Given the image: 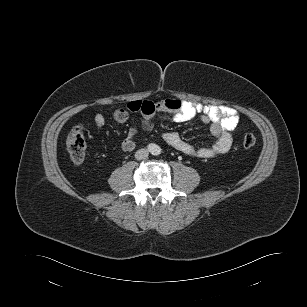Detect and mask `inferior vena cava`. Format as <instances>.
<instances>
[{
    "mask_svg": "<svg viewBox=\"0 0 307 307\" xmlns=\"http://www.w3.org/2000/svg\"><path fill=\"white\" fill-rule=\"evenodd\" d=\"M149 155V151L147 149H139L135 153V158L137 160H143L146 159Z\"/></svg>",
    "mask_w": 307,
    "mask_h": 307,
    "instance_id": "1",
    "label": "inferior vena cava"
}]
</instances>
